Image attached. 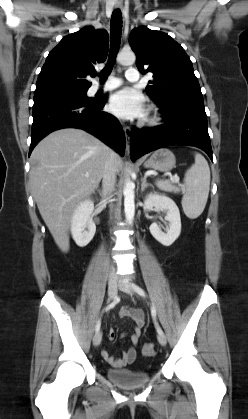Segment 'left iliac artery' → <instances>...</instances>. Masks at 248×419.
I'll list each match as a JSON object with an SVG mask.
<instances>
[{
  "instance_id": "left-iliac-artery-1",
  "label": "left iliac artery",
  "mask_w": 248,
  "mask_h": 419,
  "mask_svg": "<svg viewBox=\"0 0 248 419\" xmlns=\"http://www.w3.org/2000/svg\"><path fill=\"white\" fill-rule=\"evenodd\" d=\"M133 287L139 295H141V296L146 295L145 291L143 289H141L140 287H138L136 285H133ZM151 315H152V318L154 320L155 328H156L158 334H162L163 331H162L161 327L159 326L158 322L156 321V309H155L154 305H152V307H151Z\"/></svg>"
}]
</instances>
